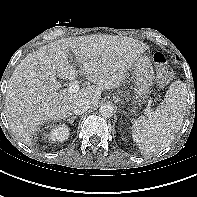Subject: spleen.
Segmentation results:
<instances>
[{
    "label": "spleen",
    "mask_w": 197,
    "mask_h": 197,
    "mask_svg": "<svg viewBox=\"0 0 197 197\" xmlns=\"http://www.w3.org/2000/svg\"><path fill=\"white\" fill-rule=\"evenodd\" d=\"M186 106V85L175 81L156 110L134 122L132 138L144 154L156 153L171 144L182 125Z\"/></svg>",
    "instance_id": "1"
}]
</instances>
